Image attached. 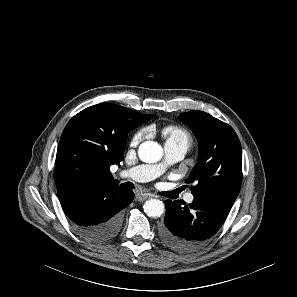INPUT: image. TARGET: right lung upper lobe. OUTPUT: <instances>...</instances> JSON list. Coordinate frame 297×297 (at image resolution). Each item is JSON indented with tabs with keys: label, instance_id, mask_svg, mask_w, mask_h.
<instances>
[{
	"label": "right lung upper lobe",
	"instance_id": "obj_1",
	"mask_svg": "<svg viewBox=\"0 0 297 297\" xmlns=\"http://www.w3.org/2000/svg\"><path fill=\"white\" fill-rule=\"evenodd\" d=\"M152 117L112 103L93 105L76 114L66 125L57 149L59 197L88 181L118 183L110 166L123 160L128 132Z\"/></svg>",
	"mask_w": 297,
	"mask_h": 297
}]
</instances>
